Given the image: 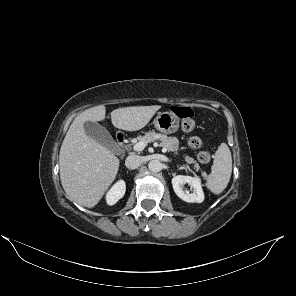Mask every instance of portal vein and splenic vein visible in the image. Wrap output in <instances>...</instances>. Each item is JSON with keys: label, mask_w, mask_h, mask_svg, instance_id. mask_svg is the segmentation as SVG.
Instances as JSON below:
<instances>
[{"label": "portal vein and splenic vein", "mask_w": 296, "mask_h": 296, "mask_svg": "<svg viewBox=\"0 0 296 296\" xmlns=\"http://www.w3.org/2000/svg\"><path fill=\"white\" fill-rule=\"evenodd\" d=\"M146 143L145 142H143V141H140V142H138V143H136L134 146H133V149L135 150V151H143L144 150V148L146 147ZM167 150L165 149V148H163L162 149V152H166Z\"/></svg>", "instance_id": "1"}]
</instances>
